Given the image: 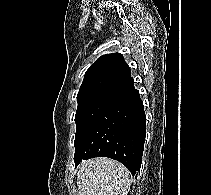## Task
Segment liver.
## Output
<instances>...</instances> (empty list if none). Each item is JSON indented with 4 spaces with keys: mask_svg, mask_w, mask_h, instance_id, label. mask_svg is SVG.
<instances>
[{
    "mask_svg": "<svg viewBox=\"0 0 211 195\" xmlns=\"http://www.w3.org/2000/svg\"><path fill=\"white\" fill-rule=\"evenodd\" d=\"M79 195H127L130 172L121 163L99 157L83 161L77 172Z\"/></svg>",
    "mask_w": 211,
    "mask_h": 195,
    "instance_id": "6515ba94",
    "label": "liver"
}]
</instances>
